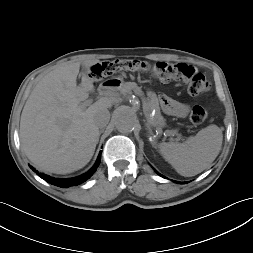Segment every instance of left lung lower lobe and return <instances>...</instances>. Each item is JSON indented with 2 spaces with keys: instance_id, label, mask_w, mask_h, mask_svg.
<instances>
[{
  "instance_id": "left-lung-lower-lobe-1",
  "label": "left lung lower lobe",
  "mask_w": 253,
  "mask_h": 253,
  "mask_svg": "<svg viewBox=\"0 0 253 253\" xmlns=\"http://www.w3.org/2000/svg\"><path fill=\"white\" fill-rule=\"evenodd\" d=\"M160 175V174H159ZM160 176H162V175H160ZM163 177V176H162ZM177 183H180V182H177ZM184 183H188V182H184Z\"/></svg>"
}]
</instances>
